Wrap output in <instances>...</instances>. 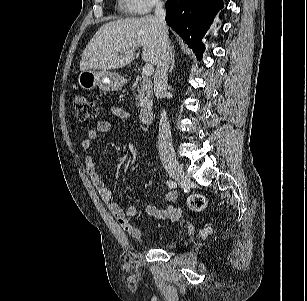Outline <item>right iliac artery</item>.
Wrapping results in <instances>:
<instances>
[{
  "label": "right iliac artery",
  "instance_id": "82829eb1",
  "mask_svg": "<svg viewBox=\"0 0 307 301\" xmlns=\"http://www.w3.org/2000/svg\"><path fill=\"white\" fill-rule=\"evenodd\" d=\"M166 184L170 187V188H176L177 187V183L174 180H168L166 182Z\"/></svg>",
  "mask_w": 307,
  "mask_h": 301
}]
</instances>
